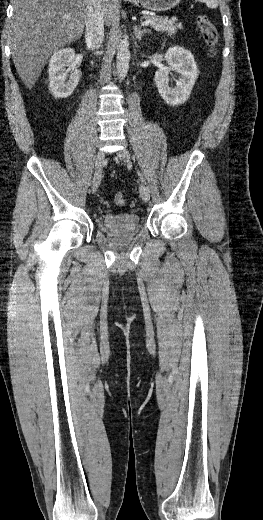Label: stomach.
<instances>
[{"mask_svg": "<svg viewBox=\"0 0 263 520\" xmlns=\"http://www.w3.org/2000/svg\"><path fill=\"white\" fill-rule=\"evenodd\" d=\"M128 2L154 12L167 11L179 4L181 0H127Z\"/></svg>", "mask_w": 263, "mask_h": 520, "instance_id": "1", "label": "stomach"}]
</instances>
